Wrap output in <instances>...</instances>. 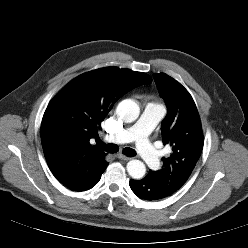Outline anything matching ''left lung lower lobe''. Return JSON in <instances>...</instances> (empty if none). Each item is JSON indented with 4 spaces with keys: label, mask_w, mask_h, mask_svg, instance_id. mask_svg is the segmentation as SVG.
Instances as JSON below:
<instances>
[{
    "label": "left lung lower lobe",
    "mask_w": 248,
    "mask_h": 248,
    "mask_svg": "<svg viewBox=\"0 0 248 248\" xmlns=\"http://www.w3.org/2000/svg\"><path fill=\"white\" fill-rule=\"evenodd\" d=\"M130 188L143 200H160L171 194L159 183L153 180L150 174L141 180H130Z\"/></svg>",
    "instance_id": "obj_1"
}]
</instances>
